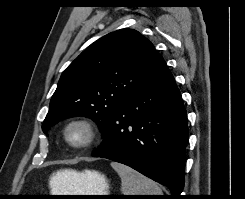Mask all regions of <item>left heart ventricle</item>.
<instances>
[{
  "mask_svg": "<svg viewBox=\"0 0 245 199\" xmlns=\"http://www.w3.org/2000/svg\"><path fill=\"white\" fill-rule=\"evenodd\" d=\"M68 136L73 143L80 144L86 140L87 132L84 127L74 125L69 129Z\"/></svg>",
  "mask_w": 245,
  "mask_h": 199,
  "instance_id": "b2bd125f",
  "label": "left heart ventricle"
}]
</instances>
